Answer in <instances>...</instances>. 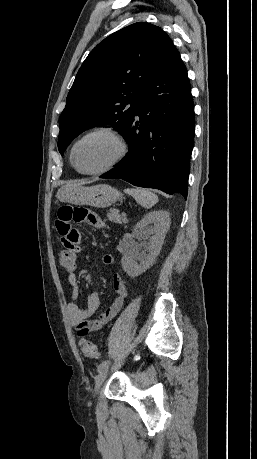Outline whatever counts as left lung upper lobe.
I'll use <instances>...</instances> for the list:
<instances>
[{"instance_id":"5c2ea615","label":"left lung upper lobe","mask_w":257,"mask_h":459,"mask_svg":"<svg viewBox=\"0 0 257 459\" xmlns=\"http://www.w3.org/2000/svg\"><path fill=\"white\" fill-rule=\"evenodd\" d=\"M175 46L158 26L138 22L104 39L87 56L69 91L60 119L58 149L86 129L102 124L125 133L143 89Z\"/></svg>"}]
</instances>
